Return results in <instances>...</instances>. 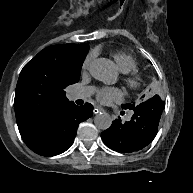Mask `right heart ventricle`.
<instances>
[{
	"instance_id": "1",
	"label": "right heart ventricle",
	"mask_w": 193,
	"mask_h": 193,
	"mask_svg": "<svg viewBox=\"0 0 193 193\" xmlns=\"http://www.w3.org/2000/svg\"><path fill=\"white\" fill-rule=\"evenodd\" d=\"M111 56L114 58L115 64L120 73L127 74L136 68L135 59L123 52L112 53Z\"/></svg>"
}]
</instances>
